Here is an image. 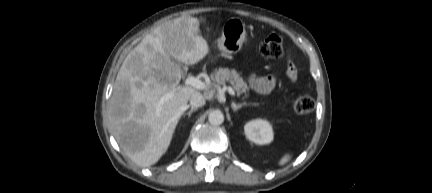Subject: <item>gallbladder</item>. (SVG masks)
<instances>
[{"label":"gallbladder","instance_id":"1","mask_svg":"<svg viewBox=\"0 0 432 193\" xmlns=\"http://www.w3.org/2000/svg\"><path fill=\"white\" fill-rule=\"evenodd\" d=\"M171 61L175 64V65H178V66H180V62L179 61H177V60H175V59H171Z\"/></svg>","mask_w":432,"mask_h":193}]
</instances>
